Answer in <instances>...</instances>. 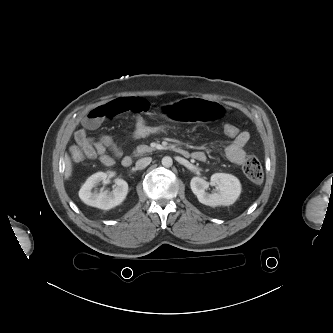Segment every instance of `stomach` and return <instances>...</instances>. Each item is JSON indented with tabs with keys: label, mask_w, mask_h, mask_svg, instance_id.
<instances>
[{
	"label": "stomach",
	"mask_w": 333,
	"mask_h": 333,
	"mask_svg": "<svg viewBox=\"0 0 333 333\" xmlns=\"http://www.w3.org/2000/svg\"><path fill=\"white\" fill-rule=\"evenodd\" d=\"M170 112L166 116L156 115L160 119L172 118L177 123L196 120L198 122L228 124L234 118V111L228 105H216L209 103L203 97H196L193 100L182 98L176 103H167Z\"/></svg>",
	"instance_id": "0dacf381"
}]
</instances>
